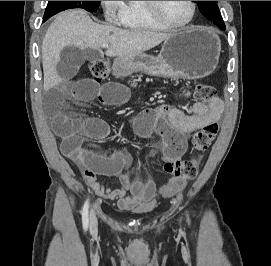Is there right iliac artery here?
<instances>
[{
    "instance_id": "82829eb1",
    "label": "right iliac artery",
    "mask_w": 271,
    "mask_h": 266,
    "mask_svg": "<svg viewBox=\"0 0 271 266\" xmlns=\"http://www.w3.org/2000/svg\"><path fill=\"white\" fill-rule=\"evenodd\" d=\"M88 208H89V202L87 200L85 202L84 206H83V211H82V220H83V228H84V230H87L88 223H89V219H88Z\"/></svg>"
}]
</instances>
